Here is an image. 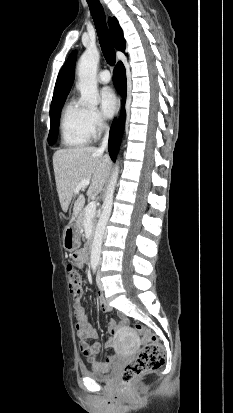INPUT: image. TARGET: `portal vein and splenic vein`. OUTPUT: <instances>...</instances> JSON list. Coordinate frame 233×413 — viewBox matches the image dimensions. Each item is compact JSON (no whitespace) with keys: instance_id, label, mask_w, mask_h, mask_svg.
Listing matches in <instances>:
<instances>
[{"instance_id":"1","label":"portal vein and splenic vein","mask_w":233,"mask_h":413,"mask_svg":"<svg viewBox=\"0 0 233 413\" xmlns=\"http://www.w3.org/2000/svg\"><path fill=\"white\" fill-rule=\"evenodd\" d=\"M90 184V180L85 179L80 181V183L74 188V193H78L81 189L85 188ZM96 211V202L92 201L90 202L87 207H86V213H85V218H92L95 215Z\"/></svg>"}]
</instances>
